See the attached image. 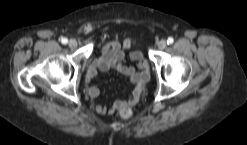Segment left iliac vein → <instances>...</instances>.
<instances>
[{"mask_svg":"<svg viewBox=\"0 0 247 145\" xmlns=\"http://www.w3.org/2000/svg\"><path fill=\"white\" fill-rule=\"evenodd\" d=\"M157 46H158V49L163 50V49L166 48L167 43H166L165 40H160V41L158 42Z\"/></svg>","mask_w":247,"mask_h":145,"instance_id":"obj_1","label":"left iliac vein"}]
</instances>
